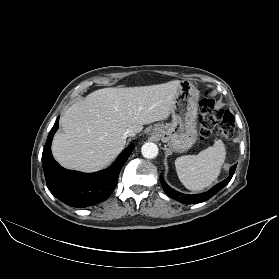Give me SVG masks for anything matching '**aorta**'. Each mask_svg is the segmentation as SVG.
<instances>
[{
	"label": "aorta",
	"mask_w": 279,
	"mask_h": 279,
	"mask_svg": "<svg viewBox=\"0 0 279 279\" xmlns=\"http://www.w3.org/2000/svg\"><path fill=\"white\" fill-rule=\"evenodd\" d=\"M141 153L147 159H153L158 155V146L153 142H147L142 145Z\"/></svg>",
	"instance_id": "obj_1"
}]
</instances>
